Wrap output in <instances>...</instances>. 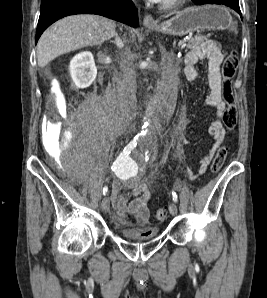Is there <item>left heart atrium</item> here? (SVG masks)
<instances>
[{"mask_svg": "<svg viewBox=\"0 0 267 298\" xmlns=\"http://www.w3.org/2000/svg\"><path fill=\"white\" fill-rule=\"evenodd\" d=\"M152 2H161L162 0H150Z\"/></svg>", "mask_w": 267, "mask_h": 298, "instance_id": "left-heart-atrium-1", "label": "left heart atrium"}]
</instances>
